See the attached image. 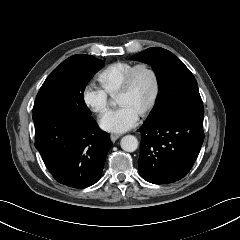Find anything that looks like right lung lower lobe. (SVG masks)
Instances as JSON below:
<instances>
[{"label": "right lung lower lobe", "mask_w": 240, "mask_h": 240, "mask_svg": "<svg viewBox=\"0 0 240 240\" xmlns=\"http://www.w3.org/2000/svg\"><path fill=\"white\" fill-rule=\"evenodd\" d=\"M33 121L35 147L57 182L82 189L100 179L112 142L92 117L38 112Z\"/></svg>", "instance_id": "98d812e1"}]
</instances>
